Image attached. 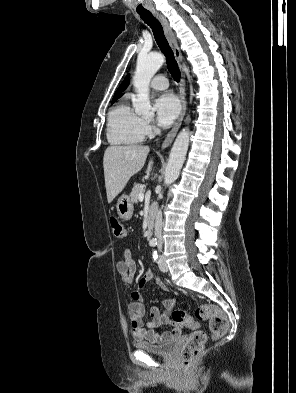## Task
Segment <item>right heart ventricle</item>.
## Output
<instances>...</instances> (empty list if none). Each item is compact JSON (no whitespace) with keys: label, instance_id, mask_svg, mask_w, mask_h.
Listing matches in <instances>:
<instances>
[{"label":"right heart ventricle","instance_id":"obj_1","mask_svg":"<svg viewBox=\"0 0 296 393\" xmlns=\"http://www.w3.org/2000/svg\"><path fill=\"white\" fill-rule=\"evenodd\" d=\"M144 121L126 101L115 106L109 114L107 139L113 145L133 146L144 139Z\"/></svg>","mask_w":296,"mask_h":393}]
</instances>
